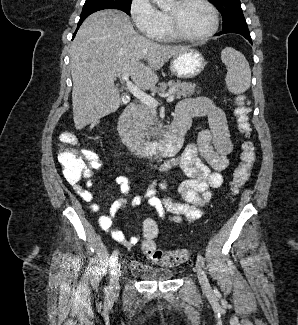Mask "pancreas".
<instances>
[{"mask_svg":"<svg viewBox=\"0 0 298 325\" xmlns=\"http://www.w3.org/2000/svg\"><path fill=\"white\" fill-rule=\"evenodd\" d=\"M166 86L175 90V98H185V96H193V94H201L199 86L196 82H184V80H169V82H159L157 88H153L152 92H166ZM158 112L155 106H149L140 102L137 104V108L133 114V130H135L138 136L141 138H150V136H156L159 134L162 128V122L157 116Z\"/></svg>","mask_w":298,"mask_h":325,"instance_id":"obj_1","label":"pancreas"}]
</instances>
